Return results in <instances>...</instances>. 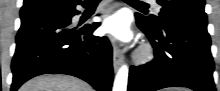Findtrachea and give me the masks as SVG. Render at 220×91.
<instances>
[{"mask_svg": "<svg viewBox=\"0 0 220 91\" xmlns=\"http://www.w3.org/2000/svg\"><path fill=\"white\" fill-rule=\"evenodd\" d=\"M126 3L131 4L137 7H149V5L145 2L138 1V0H124Z\"/></svg>", "mask_w": 220, "mask_h": 91, "instance_id": "trachea-1", "label": "trachea"}]
</instances>
